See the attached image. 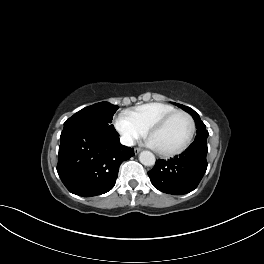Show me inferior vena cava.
I'll return each mask as SVG.
<instances>
[{
	"label": "inferior vena cava",
	"mask_w": 264,
	"mask_h": 264,
	"mask_svg": "<svg viewBox=\"0 0 264 264\" xmlns=\"http://www.w3.org/2000/svg\"><path fill=\"white\" fill-rule=\"evenodd\" d=\"M120 142H121V144H123L125 146H133L134 145V140L132 139V137L127 136V135L121 136Z\"/></svg>",
	"instance_id": "inferior-vena-cava-1"
}]
</instances>
